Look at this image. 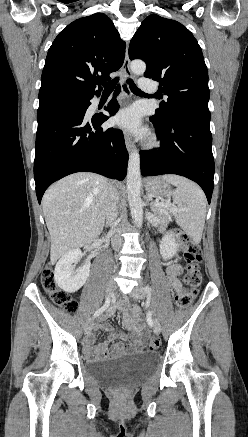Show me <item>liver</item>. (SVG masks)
<instances>
[{
  "label": "liver",
  "instance_id": "obj_1",
  "mask_svg": "<svg viewBox=\"0 0 248 437\" xmlns=\"http://www.w3.org/2000/svg\"><path fill=\"white\" fill-rule=\"evenodd\" d=\"M108 190L106 178L80 172L59 180L46 191L42 208L51 237L52 264L99 237L105 223Z\"/></svg>",
  "mask_w": 248,
  "mask_h": 437
}]
</instances>
